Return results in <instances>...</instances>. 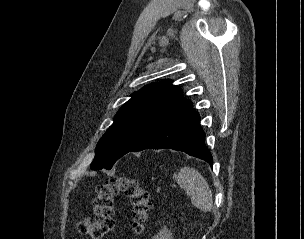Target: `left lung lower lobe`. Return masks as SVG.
Masks as SVG:
<instances>
[{"label":"left lung lower lobe","mask_w":304,"mask_h":239,"mask_svg":"<svg viewBox=\"0 0 304 239\" xmlns=\"http://www.w3.org/2000/svg\"><path fill=\"white\" fill-rule=\"evenodd\" d=\"M199 120V113L191 106L158 127L129 152L169 148L203 159L212 166L213 158L205 145V133L199 125Z\"/></svg>","instance_id":"obj_1"}]
</instances>
